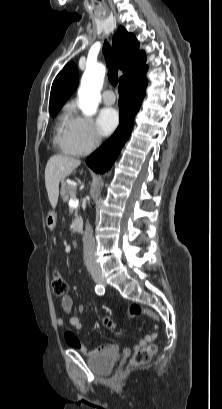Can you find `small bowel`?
I'll return each instance as SVG.
<instances>
[{
    "label": "small bowel",
    "mask_w": 222,
    "mask_h": 409,
    "mask_svg": "<svg viewBox=\"0 0 222 409\" xmlns=\"http://www.w3.org/2000/svg\"><path fill=\"white\" fill-rule=\"evenodd\" d=\"M72 305H73V301H72L71 296L65 295L61 301L62 309L66 314L69 315L70 325L74 327L75 329L80 330L82 328V322L78 316L72 314ZM78 310L80 313H82L84 311L83 306H79ZM56 324L58 327L62 328L64 326V320L61 317H59L56 319ZM157 328L158 327L155 326V330L153 332L147 334L143 339H141L138 342V344L135 346V349L138 350L142 348L143 346H145L147 343L154 341L157 338ZM64 339L71 348L81 352L82 354L86 356H90V357L104 353V352L115 351L118 348L116 345L107 344V345L99 346L95 349H87L70 332H64ZM122 353L124 355H129L131 353L130 347H123Z\"/></svg>",
    "instance_id": "1"
}]
</instances>
